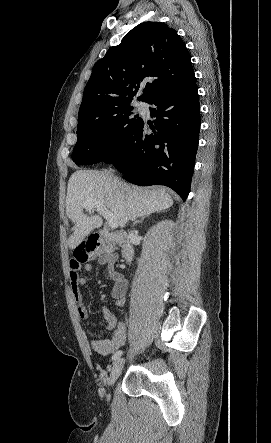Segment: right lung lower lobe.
<instances>
[{"label":"right lung lower lobe","mask_w":271,"mask_h":443,"mask_svg":"<svg viewBox=\"0 0 271 443\" xmlns=\"http://www.w3.org/2000/svg\"><path fill=\"white\" fill-rule=\"evenodd\" d=\"M196 79L182 87L161 92L149 104L156 117L153 134L147 123L134 128L108 162L127 181L141 186L161 184L185 201L194 171L200 130V104Z\"/></svg>","instance_id":"1"}]
</instances>
